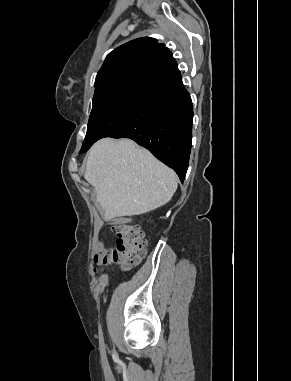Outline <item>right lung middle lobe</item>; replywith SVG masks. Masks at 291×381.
<instances>
[{"label": "right lung middle lobe", "mask_w": 291, "mask_h": 381, "mask_svg": "<svg viewBox=\"0 0 291 381\" xmlns=\"http://www.w3.org/2000/svg\"><path fill=\"white\" fill-rule=\"evenodd\" d=\"M143 78L126 79L95 92L87 133L80 153L103 137L117 135Z\"/></svg>", "instance_id": "right-lung-middle-lobe-1"}]
</instances>
